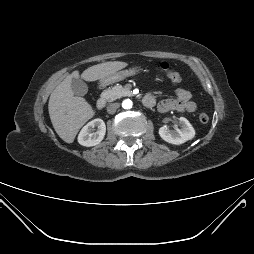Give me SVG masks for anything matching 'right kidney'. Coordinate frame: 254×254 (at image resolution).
Wrapping results in <instances>:
<instances>
[{"label":"right kidney","mask_w":254,"mask_h":254,"mask_svg":"<svg viewBox=\"0 0 254 254\" xmlns=\"http://www.w3.org/2000/svg\"><path fill=\"white\" fill-rule=\"evenodd\" d=\"M95 128L97 130L95 131ZM106 133V125L100 118L88 122L78 135V142L82 146L90 147L99 144Z\"/></svg>","instance_id":"ca27d5eb"}]
</instances>
